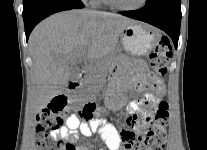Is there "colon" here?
Returning <instances> with one entry per match:
<instances>
[{
    "label": "colon",
    "mask_w": 207,
    "mask_h": 150,
    "mask_svg": "<svg viewBox=\"0 0 207 150\" xmlns=\"http://www.w3.org/2000/svg\"><path fill=\"white\" fill-rule=\"evenodd\" d=\"M171 55V47L167 37H162L154 51L149 55L151 67L161 77H165L168 71V59ZM151 87H160V79L151 77ZM153 94L151 91L148 93ZM147 96L145 100V111H152L157 107L156 113L152 119V125L146 132L135 134L131 129L122 131L123 146L122 150H163L167 141V124L169 120L168 105L165 101L159 102V99H150ZM49 109L43 110L37 116L36 130L39 132L38 150H74V146L55 138L50 137L47 132L56 130L64 123V106L70 105V100L61 95L50 100ZM92 106H87L82 115L90 118L93 112Z\"/></svg>",
    "instance_id": "colon-1"
}]
</instances>
